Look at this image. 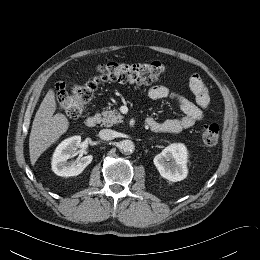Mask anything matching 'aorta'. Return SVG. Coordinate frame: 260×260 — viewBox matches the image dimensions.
<instances>
[{
	"mask_svg": "<svg viewBox=\"0 0 260 260\" xmlns=\"http://www.w3.org/2000/svg\"><path fill=\"white\" fill-rule=\"evenodd\" d=\"M135 149V145L131 140H122L119 143V150L124 153H132Z\"/></svg>",
	"mask_w": 260,
	"mask_h": 260,
	"instance_id": "obj_1",
	"label": "aorta"
}]
</instances>
